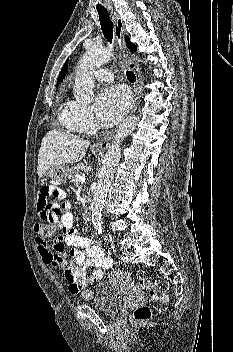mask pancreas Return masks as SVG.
I'll use <instances>...</instances> for the list:
<instances>
[{
    "mask_svg": "<svg viewBox=\"0 0 233 352\" xmlns=\"http://www.w3.org/2000/svg\"><path fill=\"white\" fill-rule=\"evenodd\" d=\"M78 173H79V167L78 166H74L71 169H68V178L75 185H77V181H76L75 177H76V174H78Z\"/></svg>",
    "mask_w": 233,
    "mask_h": 352,
    "instance_id": "pancreas-1",
    "label": "pancreas"
}]
</instances>
